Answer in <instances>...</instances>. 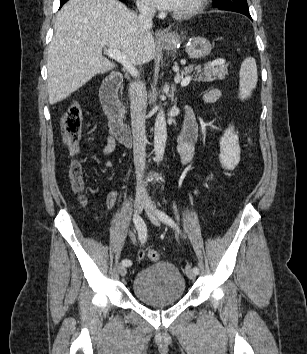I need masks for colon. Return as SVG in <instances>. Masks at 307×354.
Listing matches in <instances>:
<instances>
[{
  "label": "colon",
  "instance_id": "5ec220e1",
  "mask_svg": "<svg viewBox=\"0 0 307 354\" xmlns=\"http://www.w3.org/2000/svg\"><path fill=\"white\" fill-rule=\"evenodd\" d=\"M82 132V111L78 103H71L62 117V133L63 140L72 156L76 155L79 150V143ZM69 177L72 187L76 192L83 190V172L79 161L72 160L69 165ZM160 255L158 251L149 249L139 253L140 259H148L157 261Z\"/></svg>",
  "mask_w": 307,
  "mask_h": 354
}]
</instances>
